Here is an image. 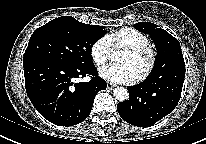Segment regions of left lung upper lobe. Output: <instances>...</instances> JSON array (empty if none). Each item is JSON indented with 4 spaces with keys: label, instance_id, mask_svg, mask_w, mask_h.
Returning <instances> with one entry per match:
<instances>
[{
    "label": "left lung upper lobe",
    "instance_id": "5c2ea615",
    "mask_svg": "<svg viewBox=\"0 0 206 144\" xmlns=\"http://www.w3.org/2000/svg\"><path fill=\"white\" fill-rule=\"evenodd\" d=\"M135 28L148 34L153 39L157 49L154 69L143 83L155 84L170 72L180 69L185 70L181 47L176 38L158 25L150 22L136 23Z\"/></svg>",
    "mask_w": 206,
    "mask_h": 144
}]
</instances>
